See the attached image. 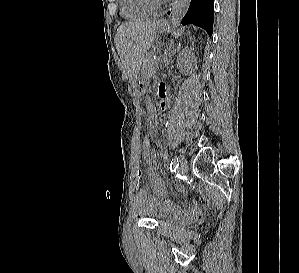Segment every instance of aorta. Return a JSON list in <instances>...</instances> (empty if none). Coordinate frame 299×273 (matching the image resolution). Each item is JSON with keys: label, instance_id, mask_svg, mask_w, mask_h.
Masks as SVG:
<instances>
[{"label": "aorta", "instance_id": "obj_1", "mask_svg": "<svg viewBox=\"0 0 299 273\" xmlns=\"http://www.w3.org/2000/svg\"><path fill=\"white\" fill-rule=\"evenodd\" d=\"M191 0H174L171 6V23L177 28L187 13Z\"/></svg>", "mask_w": 299, "mask_h": 273}]
</instances>
